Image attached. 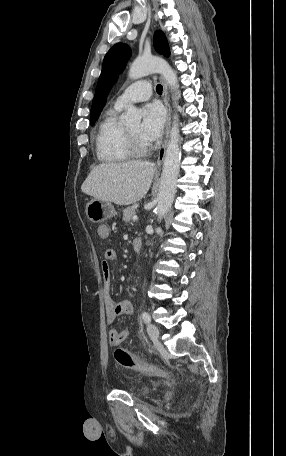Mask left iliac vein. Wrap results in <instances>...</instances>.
Returning a JSON list of instances; mask_svg holds the SVG:
<instances>
[{"label": "left iliac vein", "mask_w": 286, "mask_h": 456, "mask_svg": "<svg viewBox=\"0 0 286 456\" xmlns=\"http://www.w3.org/2000/svg\"><path fill=\"white\" fill-rule=\"evenodd\" d=\"M147 332H148V335L152 338V339H158L159 337V329L156 325L154 324H148L147 326Z\"/></svg>", "instance_id": "obj_1"}]
</instances>
